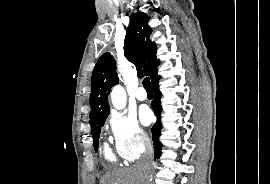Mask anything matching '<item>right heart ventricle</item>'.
I'll return each mask as SVG.
<instances>
[{"instance_id":"1","label":"right heart ventricle","mask_w":270,"mask_h":184,"mask_svg":"<svg viewBox=\"0 0 270 184\" xmlns=\"http://www.w3.org/2000/svg\"><path fill=\"white\" fill-rule=\"evenodd\" d=\"M104 155H105V158L108 161H110V162H115L116 161V158H115L114 154L111 152V150L108 147L104 148Z\"/></svg>"}]
</instances>
